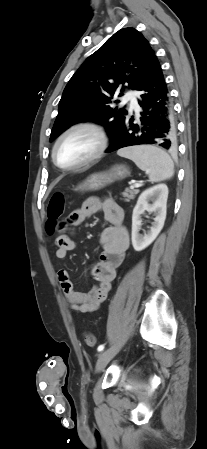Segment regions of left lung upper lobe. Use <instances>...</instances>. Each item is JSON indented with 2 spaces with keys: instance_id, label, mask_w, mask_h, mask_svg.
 I'll return each instance as SVG.
<instances>
[{
  "instance_id": "5c2ea615",
  "label": "left lung upper lobe",
  "mask_w": 207,
  "mask_h": 449,
  "mask_svg": "<svg viewBox=\"0 0 207 449\" xmlns=\"http://www.w3.org/2000/svg\"><path fill=\"white\" fill-rule=\"evenodd\" d=\"M157 60L154 50L139 31L124 28L116 32L69 80L59 103L50 141L81 121L103 125L113 140L128 117L126 109L111 107L113 96L122 95L125 83L131 89L139 90Z\"/></svg>"
}]
</instances>
